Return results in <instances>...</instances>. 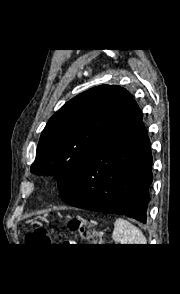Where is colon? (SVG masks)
Instances as JSON below:
<instances>
[{"instance_id": "obj_1", "label": "colon", "mask_w": 180, "mask_h": 294, "mask_svg": "<svg viewBox=\"0 0 180 294\" xmlns=\"http://www.w3.org/2000/svg\"><path fill=\"white\" fill-rule=\"evenodd\" d=\"M71 230L78 233L80 237L87 240L90 245H102V236L94 225L88 221L70 220L68 223ZM53 235L45 228H38L26 236V242L29 244H51Z\"/></svg>"}]
</instances>
